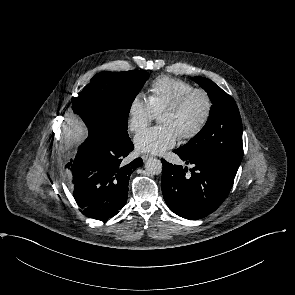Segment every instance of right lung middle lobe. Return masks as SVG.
<instances>
[{"label": "right lung middle lobe", "instance_id": "obj_1", "mask_svg": "<svg viewBox=\"0 0 295 295\" xmlns=\"http://www.w3.org/2000/svg\"><path fill=\"white\" fill-rule=\"evenodd\" d=\"M149 75L146 71L100 72L72 102V110L88 129L104 132L115 140H125L132 102Z\"/></svg>", "mask_w": 295, "mask_h": 295}]
</instances>
